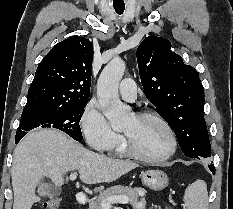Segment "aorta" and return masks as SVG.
I'll return each instance as SVG.
<instances>
[{
  "label": "aorta",
  "mask_w": 233,
  "mask_h": 209,
  "mask_svg": "<svg viewBox=\"0 0 233 209\" xmlns=\"http://www.w3.org/2000/svg\"><path fill=\"white\" fill-rule=\"evenodd\" d=\"M121 59L111 60L101 72L97 83V97L104 115L114 130H122L132 117L129 107L122 104L118 95L119 82L125 72Z\"/></svg>",
  "instance_id": "1"
}]
</instances>
